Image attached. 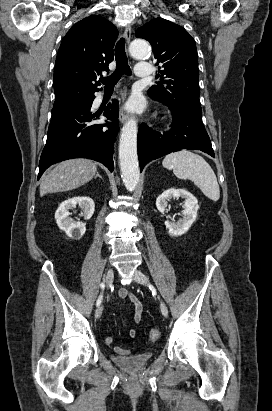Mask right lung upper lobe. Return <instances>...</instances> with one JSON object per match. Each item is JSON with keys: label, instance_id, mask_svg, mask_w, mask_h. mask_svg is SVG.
Masks as SVG:
<instances>
[{"label": "right lung upper lobe", "instance_id": "1", "mask_svg": "<svg viewBox=\"0 0 272 411\" xmlns=\"http://www.w3.org/2000/svg\"><path fill=\"white\" fill-rule=\"evenodd\" d=\"M118 31L108 20L91 15L74 24L64 37L55 62V103L78 94L94 95L97 77L109 71Z\"/></svg>", "mask_w": 272, "mask_h": 411}]
</instances>
